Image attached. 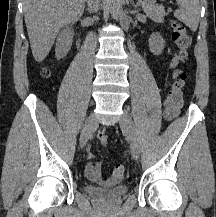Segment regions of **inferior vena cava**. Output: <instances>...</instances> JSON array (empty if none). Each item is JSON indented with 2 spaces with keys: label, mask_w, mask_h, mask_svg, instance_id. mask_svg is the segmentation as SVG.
Returning <instances> with one entry per match:
<instances>
[{
  "label": "inferior vena cava",
  "mask_w": 216,
  "mask_h": 217,
  "mask_svg": "<svg viewBox=\"0 0 216 217\" xmlns=\"http://www.w3.org/2000/svg\"><path fill=\"white\" fill-rule=\"evenodd\" d=\"M88 2V11L90 13H95L99 9L100 0H87Z\"/></svg>",
  "instance_id": "obj_1"
}]
</instances>
